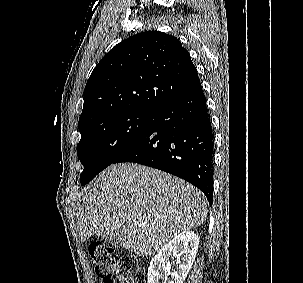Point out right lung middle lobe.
I'll return each mask as SVG.
<instances>
[{
    "label": "right lung middle lobe",
    "instance_id": "1",
    "mask_svg": "<svg viewBox=\"0 0 303 283\" xmlns=\"http://www.w3.org/2000/svg\"><path fill=\"white\" fill-rule=\"evenodd\" d=\"M154 112L133 110L105 118L80 131L78 158L84 166L81 185L111 165L146 130Z\"/></svg>",
    "mask_w": 303,
    "mask_h": 283
}]
</instances>
